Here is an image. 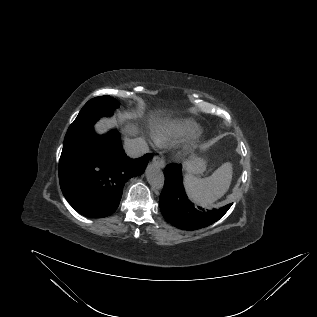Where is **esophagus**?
<instances>
[{"instance_id": "1", "label": "esophagus", "mask_w": 317, "mask_h": 317, "mask_svg": "<svg viewBox=\"0 0 317 317\" xmlns=\"http://www.w3.org/2000/svg\"><path fill=\"white\" fill-rule=\"evenodd\" d=\"M152 162L156 166H158L159 168H161V169L164 168L165 161H164L163 157L156 155L153 157Z\"/></svg>"}]
</instances>
